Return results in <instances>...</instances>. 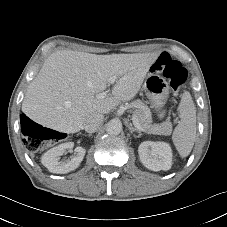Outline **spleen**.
I'll list each match as a JSON object with an SVG mask.
<instances>
[{
  "mask_svg": "<svg viewBox=\"0 0 227 227\" xmlns=\"http://www.w3.org/2000/svg\"><path fill=\"white\" fill-rule=\"evenodd\" d=\"M179 124L176 126L172 141L181 157H187L196 138V107L189 92H184L179 106Z\"/></svg>",
  "mask_w": 227,
  "mask_h": 227,
  "instance_id": "1",
  "label": "spleen"
}]
</instances>
